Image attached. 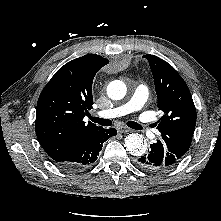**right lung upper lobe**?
Instances as JSON below:
<instances>
[{
  "instance_id": "right-lung-upper-lobe-1",
  "label": "right lung upper lobe",
  "mask_w": 221,
  "mask_h": 221,
  "mask_svg": "<svg viewBox=\"0 0 221 221\" xmlns=\"http://www.w3.org/2000/svg\"><path fill=\"white\" fill-rule=\"evenodd\" d=\"M109 61L96 54L62 66L42 90L36 110L35 131L45 152L58 160L101 127L83 121L93 105L92 82Z\"/></svg>"
}]
</instances>
